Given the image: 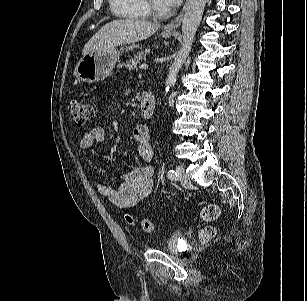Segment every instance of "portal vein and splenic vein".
Instances as JSON below:
<instances>
[{"instance_id":"obj_1","label":"portal vein and splenic vein","mask_w":307,"mask_h":301,"mask_svg":"<svg viewBox=\"0 0 307 301\" xmlns=\"http://www.w3.org/2000/svg\"><path fill=\"white\" fill-rule=\"evenodd\" d=\"M140 69H148V65L147 64H142V65H140Z\"/></svg>"}]
</instances>
